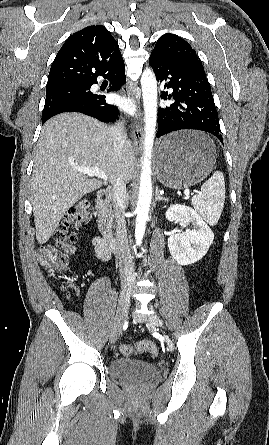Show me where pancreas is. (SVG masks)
<instances>
[{
	"label": "pancreas",
	"instance_id": "1",
	"mask_svg": "<svg viewBox=\"0 0 269 445\" xmlns=\"http://www.w3.org/2000/svg\"><path fill=\"white\" fill-rule=\"evenodd\" d=\"M114 210L112 209V205H107L106 208L103 211V216L109 220V222H112L114 217Z\"/></svg>",
	"mask_w": 269,
	"mask_h": 445
}]
</instances>
